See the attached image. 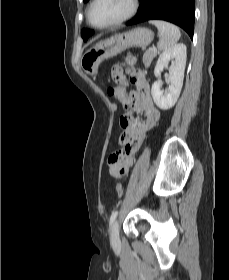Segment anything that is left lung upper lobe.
Wrapping results in <instances>:
<instances>
[{
	"label": "left lung upper lobe",
	"mask_w": 229,
	"mask_h": 280,
	"mask_svg": "<svg viewBox=\"0 0 229 280\" xmlns=\"http://www.w3.org/2000/svg\"><path fill=\"white\" fill-rule=\"evenodd\" d=\"M89 0H84V2H87ZM94 33V31L92 30H88V29H83L81 31V36L83 38L84 41H86L88 39L89 36H91Z\"/></svg>",
	"instance_id": "left-lung-upper-lobe-1"
}]
</instances>
